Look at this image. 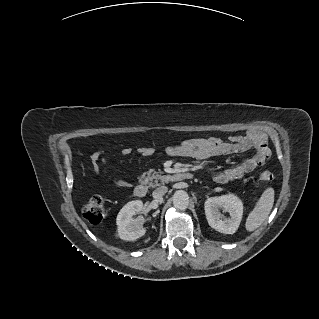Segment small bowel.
Returning <instances> with one entry per match:
<instances>
[{
  "label": "small bowel",
  "mask_w": 319,
  "mask_h": 319,
  "mask_svg": "<svg viewBox=\"0 0 319 319\" xmlns=\"http://www.w3.org/2000/svg\"><path fill=\"white\" fill-rule=\"evenodd\" d=\"M266 136L261 131H250L245 136H232L228 140H222L216 137L192 138L182 141L178 144L168 145L165 148L166 155L170 157H189L195 159H207L210 157L242 153L250 149L254 153L241 163L231 166L227 169L217 172L214 175V181L224 184L229 181L242 178L245 174L254 171L257 167L263 165L267 156ZM139 154L148 158L153 155L154 148L151 146H142L139 148ZM122 156H129L132 149L128 146L121 148ZM93 170L96 175L102 172L109 180L120 188H128L130 183L121 178L115 177L107 167V159L102 151H96L91 155Z\"/></svg>",
  "instance_id": "obj_1"
}]
</instances>
